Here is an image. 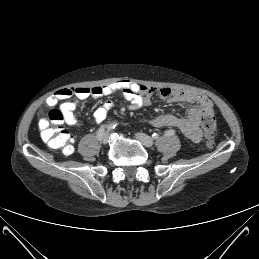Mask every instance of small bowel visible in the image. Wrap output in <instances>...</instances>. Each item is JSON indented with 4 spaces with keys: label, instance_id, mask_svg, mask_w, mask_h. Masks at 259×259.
<instances>
[{
    "label": "small bowel",
    "instance_id": "1",
    "mask_svg": "<svg viewBox=\"0 0 259 259\" xmlns=\"http://www.w3.org/2000/svg\"><path fill=\"white\" fill-rule=\"evenodd\" d=\"M115 92H121L129 102L128 108L136 110L151 103L154 95L161 97L168 102H190L195 106L189 110L186 117H179L174 114H160L150 120L154 127H174L177 128L191 141L198 143L203 138L202 121L207 116H213V104L211 100L199 92L178 89V88H153L138 84L130 80H118L106 85L76 88H62L51 94L46 99V106H54L59 101H64L60 109L62 110L65 122L70 126H78L79 121L75 110L79 100L88 98L99 99L104 96H111ZM74 98L73 100H69ZM114 102L107 99L104 103L93 111L92 117L97 124L102 123L108 113L113 109ZM43 139V138H42ZM44 140V139H43Z\"/></svg>",
    "mask_w": 259,
    "mask_h": 259
}]
</instances>
